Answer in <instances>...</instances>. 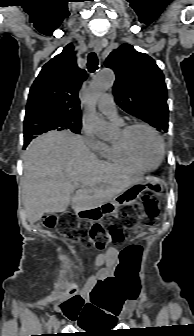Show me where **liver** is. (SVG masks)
<instances>
[{"label":"liver","instance_id":"obj_1","mask_svg":"<svg viewBox=\"0 0 194 336\" xmlns=\"http://www.w3.org/2000/svg\"><path fill=\"white\" fill-rule=\"evenodd\" d=\"M23 161L24 204L31 225L45 213L65 211L70 203L77 212L110 202L143 180L131 168L99 160L81 137L67 131L34 139Z\"/></svg>","mask_w":194,"mask_h":336}]
</instances>
